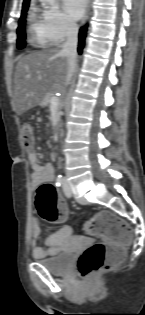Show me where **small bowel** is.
I'll list each match as a JSON object with an SVG mask.
<instances>
[{
	"instance_id": "1",
	"label": "small bowel",
	"mask_w": 145,
	"mask_h": 315,
	"mask_svg": "<svg viewBox=\"0 0 145 315\" xmlns=\"http://www.w3.org/2000/svg\"><path fill=\"white\" fill-rule=\"evenodd\" d=\"M28 161L32 168L31 173V187L36 188L44 182H50L54 177V169L51 163L40 164L37 154L30 150L28 152ZM66 207V206H65ZM71 232L68 226L63 227L57 233L50 235L46 239V247L37 244V238L41 234V228L36 221H34L31 231L32 242V255L36 259L44 258L47 256H54L58 254L63 246L65 237Z\"/></svg>"
}]
</instances>
